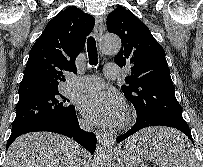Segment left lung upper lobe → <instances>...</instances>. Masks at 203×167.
<instances>
[{
    "label": "left lung upper lobe",
    "instance_id": "obj_1",
    "mask_svg": "<svg viewBox=\"0 0 203 167\" xmlns=\"http://www.w3.org/2000/svg\"><path fill=\"white\" fill-rule=\"evenodd\" d=\"M107 29L122 41L115 63L131 66L121 90L135 107L137 121L182 117L165 51L148 27L124 7H117L107 17Z\"/></svg>",
    "mask_w": 203,
    "mask_h": 167
}]
</instances>
